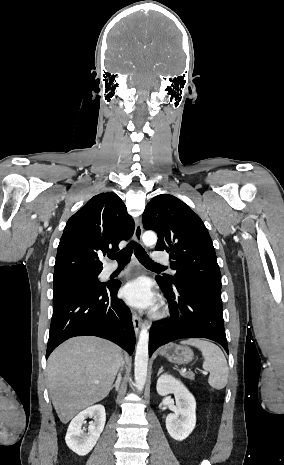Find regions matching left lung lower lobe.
Returning a JSON list of instances; mask_svg holds the SVG:
<instances>
[{
    "mask_svg": "<svg viewBox=\"0 0 284 465\" xmlns=\"http://www.w3.org/2000/svg\"><path fill=\"white\" fill-rule=\"evenodd\" d=\"M156 280L168 300L171 318L150 329L149 356L161 345L183 338H207L228 353L221 289L194 282L168 285Z\"/></svg>",
    "mask_w": 284,
    "mask_h": 465,
    "instance_id": "obj_1",
    "label": "left lung lower lobe"
}]
</instances>
